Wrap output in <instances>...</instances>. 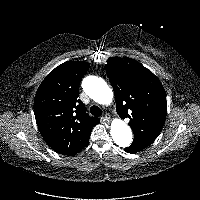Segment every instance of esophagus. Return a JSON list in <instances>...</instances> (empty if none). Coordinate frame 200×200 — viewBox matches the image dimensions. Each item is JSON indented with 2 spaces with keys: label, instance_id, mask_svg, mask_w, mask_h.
<instances>
[{
  "label": "esophagus",
  "instance_id": "esophagus-1",
  "mask_svg": "<svg viewBox=\"0 0 200 200\" xmlns=\"http://www.w3.org/2000/svg\"><path fill=\"white\" fill-rule=\"evenodd\" d=\"M103 119L108 121V122L110 121V117L107 113L104 115Z\"/></svg>",
  "mask_w": 200,
  "mask_h": 200
}]
</instances>
